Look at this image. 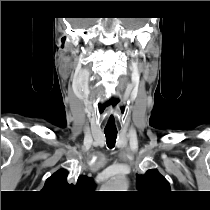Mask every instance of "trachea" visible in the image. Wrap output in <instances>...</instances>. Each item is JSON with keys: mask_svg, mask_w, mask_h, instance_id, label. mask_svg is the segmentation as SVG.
<instances>
[{"mask_svg": "<svg viewBox=\"0 0 210 210\" xmlns=\"http://www.w3.org/2000/svg\"><path fill=\"white\" fill-rule=\"evenodd\" d=\"M106 136V143L109 148H113L116 143L117 131H104Z\"/></svg>", "mask_w": 210, "mask_h": 210, "instance_id": "trachea-1", "label": "trachea"}]
</instances>
